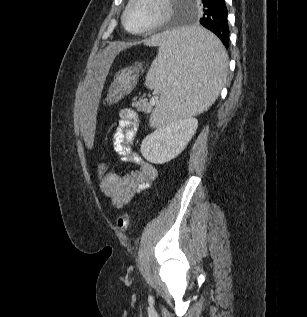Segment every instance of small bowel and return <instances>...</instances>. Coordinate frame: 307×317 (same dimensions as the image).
Instances as JSON below:
<instances>
[{"instance_id":"obj_1","label":"small bowel","mask_w":307,"mask_h":317,"mask_svg":"<svg viewBox=\"0 0 307 317\" xmlns=\"http://www.w3.org/2000/svg\"><path fill=\"white\" fill-rule=\"evenodd\" d=\"M138 123L136 112L131 108H124L120 112L118 127L112 135L114 149L121 161L135 164L137 170L128 175H120L114 169H109L100 181L101 191L118 209L130 203L138 193L147 189L157 177V169L152 164L142 160L132 150Z\"/></svg>"}]
</instances>
